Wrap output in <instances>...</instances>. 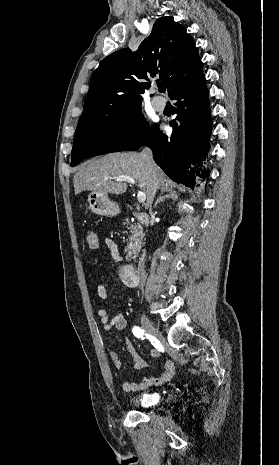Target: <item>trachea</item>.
I'll list each match as a JSON object with an SVG mask.
<instances>
[{
  "mask_svg": "<svg viewBox=\"0 0 279 465\" xmlns=\"http://www.w3.org/2000/svg\"><path fill=\"white\" fill-rule=\"evenodd\" d=\"M159 92H165V87L163 84H158Z\"/></svg>",
  "mask_w": 279,
  "mask_h": 465,
  "instance_id": "3493384b",
  "label": "trachea"
}]
</instances>
